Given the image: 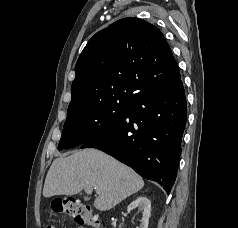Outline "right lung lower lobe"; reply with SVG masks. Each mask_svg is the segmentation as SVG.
I'll list each match as a JSON object with an SVG mask.
<instances>
[{
	"label": "right lung lower lobe",
	"instance_id": "1",
	"mask_svg": "<svg viewBox=\"0 0 238 228\" xmlns=\"http://www.w3.org/2000/svg\"><path fill=\"white\" fill-rule=\"evenodd\" d=\"M186 117L184 87L178 79L131 99L118 122L81 148L102 150L142 177L158 182L169 194L176 179Z\"/></svg>",
	"mask_w": 238,
	"mask_h": 228
}]
</instances>
